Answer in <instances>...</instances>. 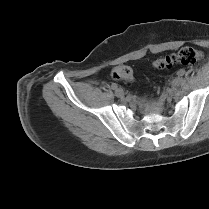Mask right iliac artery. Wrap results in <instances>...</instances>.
I'll list each match as a JSON object with an SVG mask.
<instances>
[{
  "label": "right iliac artery",
  "mask_w": 209,
  "mask_h": 209,
  "mask_svg": "<svg viewBox=\"0 0 209 209\" xmlns=\"http://www.w3.org/2000/svg\"><path fill=\"white\" fill-rule=\"evenodd\" d=\"M111 88H112L113 90H115V89H117V88H118V86H117V84H116V83H112Z\"/></svg>",
  "instance_id": "obj_1"
}]
</instances>
